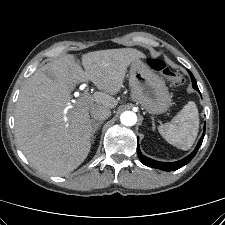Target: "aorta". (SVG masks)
<instances>
[{"label": "aorta", "mask_w": 225, "mask_h": 225, "mask_svg": "<svg viewBox=\"0 0 225 225\" xmlns=\"http://www.w3.org/2000/svg\"><path fill=\"white\" fill-rule=\"evenodd\" d=\"M120 121L125 126H133L137 122V115L132 111H125L120 115Z\"/></svg>", "instance_id": "762f6f07"}]
</instances>
